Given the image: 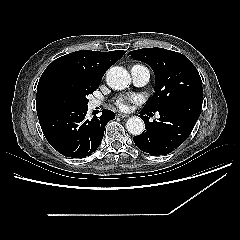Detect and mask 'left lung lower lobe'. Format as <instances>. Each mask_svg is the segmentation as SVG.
I'll list each match as a JSON object with an SVG mask.
<instances>
[{
    "label": "left lung lower lobe",
    "mask_w": 240,
    "mask_h": 240,
    "mask_svg": "<svg viewBox=\"0 0 240 240\" xmlns=\"http://www.w3.org/2000/svg\"><path fill=\"white\" fill-rule=\"evenodd\" d=\"M203 98H194L175 103L161 111L158 121L149 122L142 117L145 130L134 136L133 141L143 152L152 156L165 155L180 146L192 132L202 108ZM148 111L142 109L140 114Z\"/></svg>",
    "instance_id": "left-lung-lower-lobe-1"
}]
</instances>
